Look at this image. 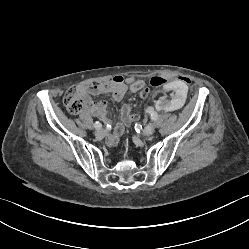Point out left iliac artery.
Listing matches in <instances>:
<instances>
[{
    "mask_svg": "<svg viewBox=\"0 0 249 249\" xmlns=\"http://www.w3.org/2000/svg\"><path fill=\"white\" fill-rule=\"evenodd\" d=\"M148 112L151 113V120H152V121H156V120H157V117H158L157 113L154 112V111H151V109H149Z\"/></svg>",
    "mask_w": 249,
    "mask_h": 249,
    "instance_id": "1",
    "label": "left iliac artery"
}]
</instances>
